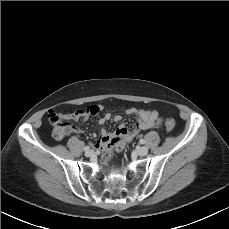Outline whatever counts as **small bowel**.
Masks as SVG:
<instances>
[{
  "label": "small bowel",
  "instance_id": "c3829d8e",
  "mask_svg": "<svg viewBox=\"0 0 229 229\" xmlns=\"http://www.w3.org/2000/svg\"><path fill=\"white\" fill-rule=\"evenodd\" d=\"M125 113L128 115L136 116L135 128L129 130L124 124H121L118 126L115 133H111L106 128H102L100 131L101 139L95 143L96 148H99L102 151H112L113 147L111 145V142L114 138H120L121 143L131 142L136 137L139 131L148 130L155 125V120L157 117V113L155 111L128 108L125 110ZM88 117L89 115L84 110H77L67 115V118L71 120H87ZM110 119L111 115L109 113H106L103 116H101L97 122L99 125L102 126ZM113 120L115 122H120L122 120V116L117 114L113 117ZM68 130L75 133L82 132L81 128L74 126H70Z\"/></svg>",
  "mask_w": 229,
  "mask_h": 229
}]
</instances>
